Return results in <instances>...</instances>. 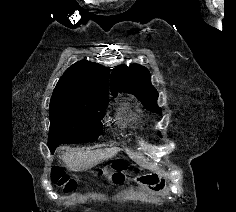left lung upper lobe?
<instances>
[{"label": "left lung upper lobe", "mask_w": 236, "mask_h": 212, "mask_svg": "<svg viewBox=\"0 0 236 212\" xmlns=\"http://www.w3.org/2000/svg\"><path fill=\"white\" fill-rule=\"evenodd\" d=\"M110 86L113 96H117L119 92L133 94L147 110L162 114L157 106L158 92L151 84V75L146 67L139 64L115 67L111 74Z\"/></svg>", "instance_id": "obj_1"}]
</instances>
